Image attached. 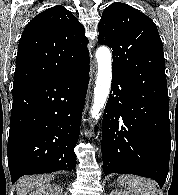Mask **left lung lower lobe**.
Instances as JSON below:
<instances>
[{"instance_id": "left-lung-lower-lobe-1", "label": "left lung lower lobe", "mask_w": 178, "mask_h": 195, "mask_svg": "<svg viewBox=\"0 0 178 195\" xmlns=\"http://www.w3.org/2000/svg\"><path fill=\"white\" fill-rule=\"evenodd\" d=\"M170 141L169 98L112 74L102 123L104 174L140 175L162 187L169 170Z\"/></svg>"}]
</instances>
